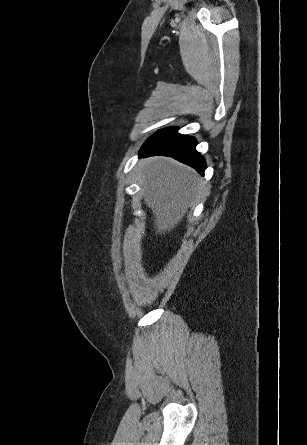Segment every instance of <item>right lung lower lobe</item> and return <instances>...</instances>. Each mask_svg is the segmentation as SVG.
Listing matches in <instances>:
<instances>
[{
  "mask_svg": "<svg viewBox=\"0 0 307 445\" xmlns=\"http://www.w3.org/2000/svg\"><path fill=\"white\" fill-rule=\"evenodd\" d=\"M193 137L180 135L177 128L160 130L150 137L140 150V158L164 155L173 157L196 169L203 175L206 168L204 158L195 150Z\"/></svg>",
  "mask_w": 307,
  "mask_h": 445,
  "instance_id": "right-lung-lower-lobe-1",
  "label": "right lung lower lobe"
}]
</instances>
